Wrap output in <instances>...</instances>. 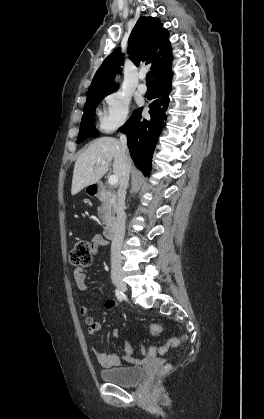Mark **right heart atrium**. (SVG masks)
I'll list each match as a JSON object with an SVG mask.
<instances>
[{"instance_id":"right-heart-atrium-1","label":"right heart atrium","mask_w":264,"mask_h":419,"mask_svg":"<svg viewBox=\"0 0 264 419\" xmlns=\"http://www.w3.org/2000/svg\"><path fill=\"white\" fill-rule=\"evenodd\" d=\"M130 100L121 92H113L105 98V109L99 115L100 129L110 133L123 126L129 118Z\"/></svg>"}]
</instances>
